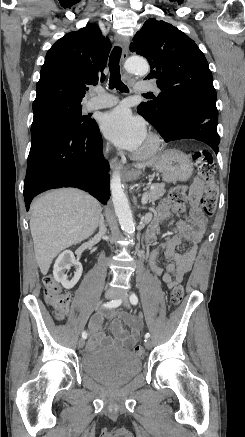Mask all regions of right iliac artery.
Returning <instances> with one entry per match:
<instances>
[{"label": "right iliac artery", "mask_w": 245, "mask_h": 437, "mask_svg": "<svg viewBox=\"0 0 245 437\" xmlns=\"http://www.w3.org/2000/svg\"><path fill=\"white\" fill-rule=\"evenodd\" d=\"M121 302H122V301H121L120 299H118V300H112V301H110V302L104 303L103 306H104V307H107V308H115V307L120 306ZM82 338H84V339L87 338V332H86V331H84V332L82 333Z\"/></svg>", "instance_id": "obj_1"}]
</instances>
